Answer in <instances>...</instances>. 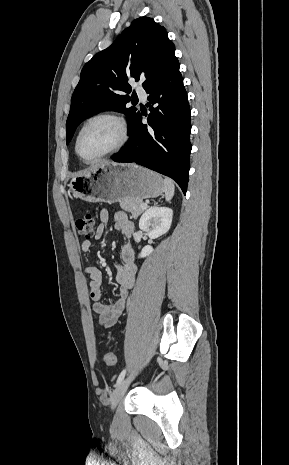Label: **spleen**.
Listing matches in <instances>:
<instances>
[{"label": "spleen", "mask_w": 289, "mask_h": 465, "mask_svg": "<svg viewBox=\"0 0 289 465\" xmlns=\"http://www.w3.org/2000/svg\"><path fill=\"white\" fill-rule=\"evenodd\" d=\"M164 192L166 201H170L174 196L175 186L173 181L169 178L164 179Z\"/></svg>", "instance_id": "spleen-1"}]
</instances>
